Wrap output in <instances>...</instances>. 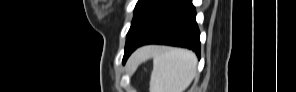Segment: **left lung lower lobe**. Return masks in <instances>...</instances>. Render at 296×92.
Returning <instances> with one entry per match:
<instances>
[{
    "mask_svg": "<svg viewBox=\"0 0 296 92\" xmlns=\"http://www.w3.org/2000/svg\"><path fill=\"white\" fill-rule=\"evenodd\" d=\"M195 16L192 0H170L147 35L124 54L123 61L145 44L187 47L200 57V32Z\"/></svg>",
    "mask_w": 296,
    "mask_h": 92,
    "instance_id": "1",
    "label": "left lung lower lobe"
}]
</instances>
